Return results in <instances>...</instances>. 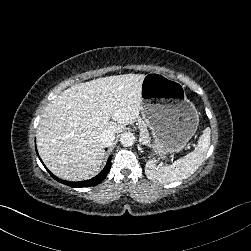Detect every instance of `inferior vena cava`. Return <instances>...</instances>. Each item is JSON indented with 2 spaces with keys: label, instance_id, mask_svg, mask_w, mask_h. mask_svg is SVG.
Wrapping results in <instances>:
<instances>
[{
  "label": "inferior vena cava",
  "instance_id": "inferior-vena-cava-1",
  "mask_svg": "<svg viewBox=\"0 0 251 251\" xmlns=\"http://www.w3.org/2000/svg\"><path fill=\"white\" fill-rule=\"evenodd\" d=\"M115 140V133L111 130H105L101 134V143L104 147H109Z\"/></svg>",
  "mask_w": 251,
  "mask_h": 251
}]
</instances>
